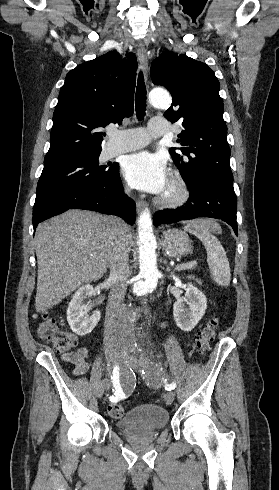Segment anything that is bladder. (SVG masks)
Masks as SVG:
<instances>
[{
  "label": "bladder",
  "mask_w": 279,
  "mask_h": 490,
  "mask_svg": "<svg viewBox=\"0 0 279 490\" xmlns=\"http://www.w3.org/2000/svg\"><path fill=\"white\" fill-rule=\"evenodd\" d=\"M168 412L159 405H139L126 411L116 420L115 427L121 431H156L168 425Z\"/></svg>",
  "instance_id": "obj_1"
}]
</instances>
